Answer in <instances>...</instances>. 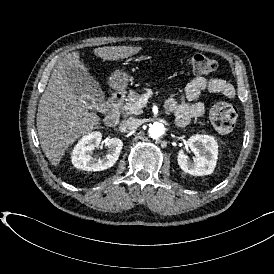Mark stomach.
Returning a JSON list of instances; mask_svg holds the SVG:
<instances>
[{"mask_svg":"<svg viewBox=\"0 0 274 274\" xmlns=\"http://www.w3.org/2000/svg\"><path fill=\"white\" fill-rule=\"evenodd\" d=\"M128 83L127 77L119 70L113 72L109 78V85L116 91L123 92Z\"/></svg>","mask_w":274,"mask_h":274,"instance_id":"obj_1","label":"stomach"}]
</instances>
